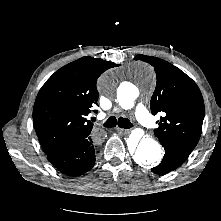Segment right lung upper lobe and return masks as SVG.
Masks as SVG:
<instances>
[{"mask_svg": "<svg viewBox=\"0 0 221 221\" xmlns=\"http://www.w3.org/2000/svg\"><path fill=\"white\" fill-rule=\"evenodd\" d=\"M113 62L82 57L57 70L35 100L33 122L40 144L49 155L75 141L88 138L93 123L87 119L97 105L98 77Z\"/></svg>", "mask_w": 221, "mask_h": 221, "instance_id": "right-lung-upper-lobe-1", "label": "right lung upper lobe"}]
</instances>
